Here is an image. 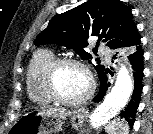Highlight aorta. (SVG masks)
Segmentation results:
<instances>
[{"label": "aorta", "instance_id": "1", "mask_svg": "<svg viewBox=\"0 0 153 134\" xmlns=\"http://www.w3.org/2000/svg\"><path fill=\"white\" fill-rule=\"evenodd\" d=\"M133 91V82L125 65H121L115 85L105 96L103 103L95 110L91 118L93 128L99 127L117 115L127 104Z\"/></svg>", "mask_w": 153, "mask_h": 134}]
</instances>
